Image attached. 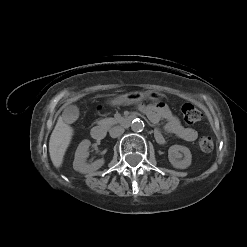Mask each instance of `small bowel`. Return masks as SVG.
<instances>
[{"label":"small bowel","instance_id":"1","mask_svg":"<svg viewBox=\"0 0 247 247\" xmlns=\"http://www.w3.org/2000/svg\"><path fill=\"white\" fill-rule=\"evenodd\" d=\"M140 110L146 114L153 124L164 120L166 122L165 131L185 141L193 142L198 137L197 131L192 127L183 126L179 118L166 105L141 106ZM96 111L98 113H103L105 111V106L103 104H98L96 106ZM154 136L159 144L165 143V138L161 130H156Z\"/></svg>","mask_w":247,"mask_h":247}]
</instances>
